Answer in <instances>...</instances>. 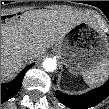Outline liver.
I'll use <instances>...</instances> for the list:
<instances>
[{"label": "liver", "instance_id": "1", "mask_svg": "<svg viewBox=\"0 0 109 109\" xmlns=\"http://www.w3.org/2000/svg\"><path fill=\"white\" fill-rule=\"evenodd\" d=\"M89 22L97 26L88 15L75 10H33L19 20L1 26V78L9 80L22 68L23 52H32L33 59L57 45L77 24Z\"/></svg>", "mask_w": 109, "mask_h": 109}]
</instances>
